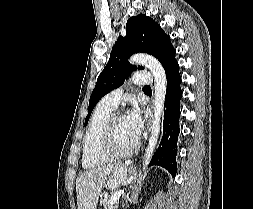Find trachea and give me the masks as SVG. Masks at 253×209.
Wrapping results in <instances>:
<instances>
[{
    "mask_svg": "<svg viewBox=\"0 0 253 209\" xmlns=\"http://www.w3.org/2000/svg\"><path fill=\"white\" fill-rule=\"evenodd\" d=\"M144 88H149V86H145Z\"/></svg>",
    "mask_w": 253,
    "mask_h": 209,
    "instance_id": "1",
    "label": "trachea"
}]
</instances>
